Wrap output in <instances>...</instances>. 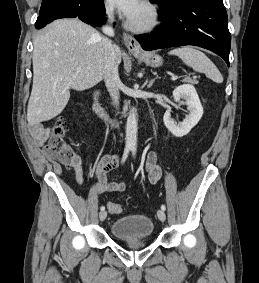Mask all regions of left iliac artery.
I'll list each match as a JSON object with an SVG mask.
<instances>
[{"label": "left iliac artery", "instance_id": "left-iliac-artery-1", "mask_svg": "<svg viewBox=\"0 0 259 283\" xmlns=\"http://www.w3.org/2000/svg\"><path fill=\"white\" fill-rule=\"evenodd\" d=\"M132 153H133V155L135 156V154H136V148H135V147L132 148ZM161 209H162L163 211L166 210V207H165L164 204L161 205Z\"/></svg>", "mask_w": 259, "mask_h": 283}]
</instances>
